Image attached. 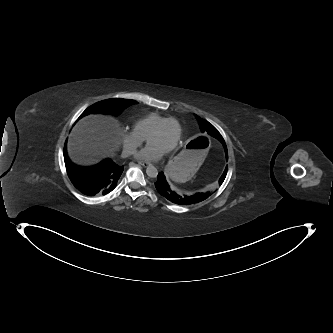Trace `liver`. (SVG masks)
<instances>
[{"label":"liver","mask_w":333,"mask_h":333,"mask_svg":"<svg viewBox=\"0 0 333 333\" xmlns=\"http://www.w3.org/2000/svg\"><path fill=\"white\" fill-rule=\"evenodd\" d=\"M122 142L120 124L112 117L88 115L79 120L68 139L67 149L72 161L93 165L112 157Z\"/></svg>","instance_id":"obj_1"}]
</instances>
